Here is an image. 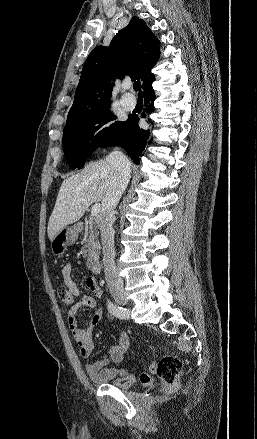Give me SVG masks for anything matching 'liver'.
<instances>
[{"instance_id":"6515ba94","label":"liver","mask_w":257,"mask_h":439,"mask_svg":"<svg viewBox=\"0 0 257 439\" xmlns=\"http://www.w3.org/2000/svg\"><path fill=\"white\" fill-rule=\"evenodd\" d=\"M112 174L109 163L99 160L89 163L80 173L63 181L48 222L50 240L62 228L78 221L92 203L105 198Z\"/></svg>"}]
</instances>
